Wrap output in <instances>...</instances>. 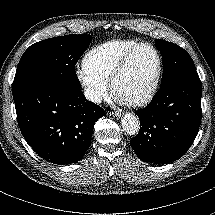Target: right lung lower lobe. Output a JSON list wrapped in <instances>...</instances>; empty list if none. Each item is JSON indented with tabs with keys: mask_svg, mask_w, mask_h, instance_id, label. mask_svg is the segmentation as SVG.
Masks as SVG:
<instances>
[{
	"mask_svg": "<svg viewBox=\"0 0 215 215\" xmlns=\"http://www.w3.org/2000/svg\"><path fill=\"white\" fill-rule=\"evenodd\" d=\"M18 125L27 143L44 160L77 163L90 146L95 122L104 110L80 89L38 85L14 97Z\"/></svg>",
	"mask_w": 215,
	"mask_h": 215,
	"instance_id": "1",
	"label": "right lung lower lobe"
}]
</instances>
